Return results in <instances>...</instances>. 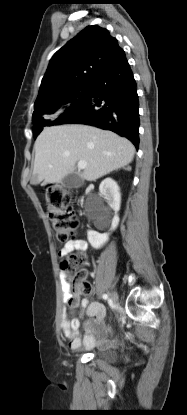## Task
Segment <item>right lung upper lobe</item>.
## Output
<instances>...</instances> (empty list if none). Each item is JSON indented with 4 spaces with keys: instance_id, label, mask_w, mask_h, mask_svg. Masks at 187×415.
Returning a JSON list of instances; mask_svg holds the SVG:
<instances>
[{
    "instance_id": "right-lung-upper-lobe-1",
    "label": "right lung upper lobe",
    "mask_w": 187,
    "mask_h": 415,
    "mask_svg": "<svg viewBox=\"0 0 187 415\" xmlns=\"http://www.w3.org/2000/svg\"><path fill=\"white\" fill-rule=\"evenodd\" d=\"M122 52L106 29L86 27L51 58L34 108L54 103L70 89L90 83Z\"/></svg>"
}]
</instances>
